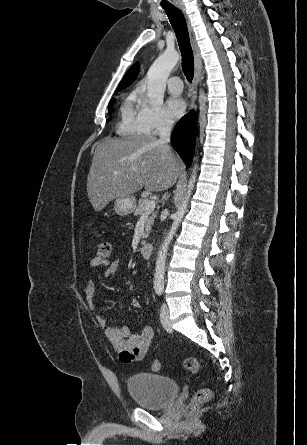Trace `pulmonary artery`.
<instances>
[{
  "label": "pulmonary artery",
  "mask_w": 307,
  "mask_h": 445,
  "mask_svg": "<svg viewBox=\"0 0 307 445\" xmlns=\"http://www.w3.org/2000/svg\"><path fill=\"white\" fill-rule=\"evenodd\" d=\"M181 79V75L178 72H173L168 82V89L173 94H179L184 88L183 81H174Z\"/></svg>",
  "instance_id": "e3ab8cb5"
}]
</instances>
